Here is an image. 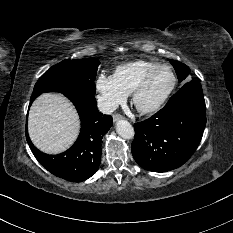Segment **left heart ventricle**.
Listing matches in <instances>:
<instances>
[{"mask_svg":"<svg viewBox=\"0 0 233 233\" xmlns=\"http://www.w3.org/2000/svg\"><path fill=\"white\" fill-rule=\"evenodd\" d=\"M171 81L172 76L169 70L162 69L158 71L153 76L146 89L139 96V105L141 107H149L155 104L166 92Z\"/></svg>","mask_w":233,"mask_h":233,"instance_id":"left-heart-ventricle-1","label":"left heart ventricle"}]
</instances>
